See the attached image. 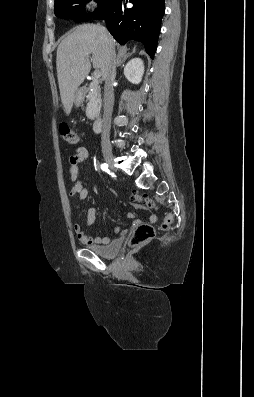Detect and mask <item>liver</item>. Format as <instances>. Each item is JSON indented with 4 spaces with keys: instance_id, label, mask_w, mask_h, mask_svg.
<instances>
[{
    "instance_id": "liver-1",
    "label": "liver",
    "mask_w": 254,
    "mask_h": 397,
    "mask_svg": "<svg viewBox=\"0 0 254 397\" xmlns=\"http://www.w3.org/2000/svg\"><path fill=\"white\" fill-rule=\"evenodd\" d=\"M115 40L100 25H80L66 36L57 48V78L61 101L66 115L71 113L75 93L93 67L100 69L103 78L109 58V50H114Z\"/></svg>"
}]
</instances>
